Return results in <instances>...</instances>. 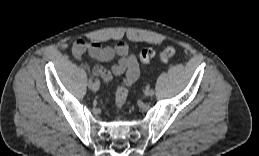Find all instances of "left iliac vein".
Wrapping results in <instances>:
<instances>
[{
	"label": "left iliac vein",
	"instance_id": "left-iliac-vein-1",
	"mask_svg": "<svg viewBox=\"0 0 259 156\" xmlns=\"http://www.w3.org/2000/svg\"><path fill=\"white\" fill-rule=\"evenodd\" d=\"M145 95L146 96H151V89H146L145 90Z\"/></svg>",
	"mask_w": 259,
	"mask_h": 156
}]
</instances>
